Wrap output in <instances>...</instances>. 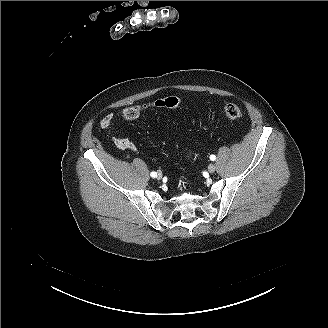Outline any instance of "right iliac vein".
<instances>
[{"label":"right iliac vein","instance_id":"1","mask_svg":"<svg viewBox=\"0 0 328 328\" xmlns=\"http://www.w3.org/2000/svg\"><path fill=\"white\" fill-rule=\"evenodd\" d=\"M157 180H161L162 179V174L158 173V175L156 176Z\"/></svg>","mask_w":328,"mask_h":328}]
</instances>
